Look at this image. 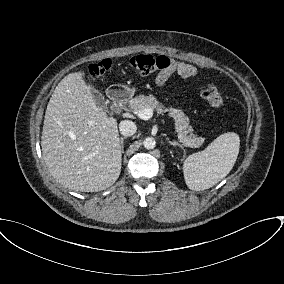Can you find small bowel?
Returning <instances> with one entry per match:
<instances>
[{
  "label": "small bowel",
  "mask_w": 284,
  "mask_h": 284,
  "mask_svg": "<svg viewBox=\"0 0 284 284\" xmlns=\"http://www.w3.org/2000/svg\"><path fill=\"white\" fill-rule=\"evenodd\" d=\"M179 74L183 78L194 77L197 75L198 71L193 65L180 62L171 61L169 68L162 70L156 77V82L158 85L163 86L171 78L173 74Z\"/></svg>",
  "instance_id": "1"
}]
</instances>
